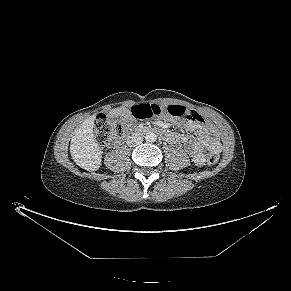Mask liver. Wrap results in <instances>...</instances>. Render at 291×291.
<instances>
[{
    "label": "liver",
    "instance_id": "obj_1",
    "mask_svg": "<svg viewBox=\"0 0 291 291\" xmlns=\"http://www.w3.org/2000/svg\"><path fill=\"white\" fill-rule=\"evenodd\" d=\"M94 117L83 122L75 133L70 146L72 158L76 163L88 170H97L100 166L99 149L95 147L93 136Z\"/></svg>",
    "mask_w": 291,
    "mask_h": 291
}]
</instances>
